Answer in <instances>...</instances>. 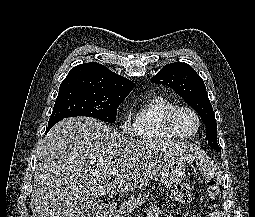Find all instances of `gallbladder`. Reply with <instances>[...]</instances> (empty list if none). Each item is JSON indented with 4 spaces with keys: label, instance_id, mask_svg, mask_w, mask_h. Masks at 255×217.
Here are the masks:
<instances>
[{
    "label": "gallbladder",
    "instance_id": "obj_1",
    "mask_svg": "<svg viewBox=\"0 0 255 217\" xmlns=\"http://www.w3.org/2000/svg\"><path fill=\"white\" fill-rule=\"evenodd\" d=\"M96 207V201L88 196H85L78 206L76 217H89L94 213Z\"/></svg>",
    "mask_w": 255,
    "mask_h": 217
}]
</instances>
